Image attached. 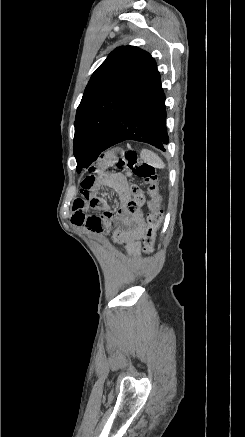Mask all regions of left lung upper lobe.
I'll use <instances>...</instances> for the list:
<instances>
[{"mask_svg": "<svg viewBox=\"0 0 245 437\" xmlns=\"http://www.w3.org/2000/svg\"><path fill=\"white\" fill-rule=\"evenodd\" d=\"M155 64L148 52L135 46H121L92 74L74 124L78 173L98 158L121 111Z\"/></svg>", "mask_w": 245, "mask_h": 437, "instance_id": "1", "label": "left lung upper lobe"}]
</instances>
